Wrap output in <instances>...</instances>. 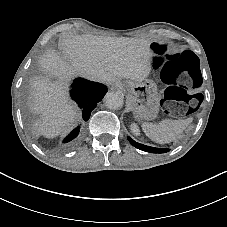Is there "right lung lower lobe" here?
Returning <instances> with one entry per match:
<instances>
[{"instance_id": "1", "label": "right lung lower lobe", "mask_w": 227, "mask_h": 227, "mask_svg": "<svg viewBox=\"0 0 227 227\" xmlns=\"http://www.w3.org/2000/svg\"><path fill=\"white\" fill-rule=\"evenodd\" d=\"M107 92L105 85L91 82L83 78H78L74 81L71 90L72 98L78 103L79 107L83 109V119L87 121L90 117L91 111L97 106V103L102 100ZM79 134V127L74 129L63 141L67 143L65 146H70ZM72 141V142H70Z\"/></svg>"}]
</instances>
